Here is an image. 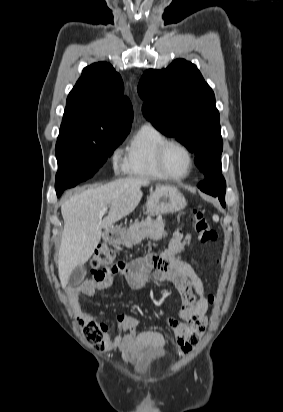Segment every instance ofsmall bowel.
Segmentation results:
<instances>
[{"mask_svg": "<svg viewBox=\"0 0 283 412\" xmlns=\"http://www.w3.org/2000/svg\"><path fill=\"white\" fill-rule=\"evenodd\" d=\"M182 246L192 248L193 237L186 233ZM168 251V249H167ZM151 254L147 258L157 257ZM196 262L181 259L177 254L168 259L167 266L151 265L155 270L154 280L172 283L182 297L180 316L182 320L167 318L163 321L174 332L176 342L182 353H187L197 343L207 325L208 301L204 296L203 283L196 272ZM146 270H140L135 262L127 263L126 267L113 275L87 280L83 285L71 291V297L81 317L86 320H98L103 314L94 315L84 308V301L91 299L97 292H105L113 283L115 276H123L128 286L141 290L149 282ZM83 301L79 300V296ZM117 334L112 337L105 334V346L109 350L118 349L122 358L136 365H142L152 355L162 353L165 346L163 335L157 331L146 330L137 333L140 320L130 314L121 313L116 316Z\"/></svg>", "mask_w": 283, "mask_h": 412, "instance_id": "1", "label": "small bowel"}]
</instances>
